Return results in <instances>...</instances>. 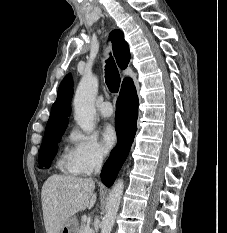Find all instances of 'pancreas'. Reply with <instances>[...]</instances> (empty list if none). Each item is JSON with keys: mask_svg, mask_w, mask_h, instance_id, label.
<instances>
[{"mask_svg": "<svg viewBox=\"0 0 227 233\" xmlns=\"http://www.w3.org/2000/svg\"><path fill=\"white\" fill-rule=\"evenodd\" d=\"M85 227H86V224L82 223V224L80 225V228H79V230H78V233H83Z\"/></svg>", "mask_w": 227, "mask_h": 233, "instance_id": "1", "label": "pancreas"}]
</instances>
